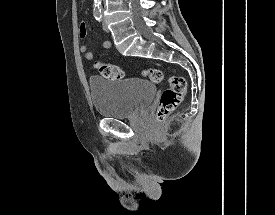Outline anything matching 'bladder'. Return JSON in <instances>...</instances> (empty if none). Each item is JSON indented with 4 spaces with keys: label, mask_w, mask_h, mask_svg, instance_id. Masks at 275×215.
Listing matches in <instances>:
<instances>
[{
    "label": "bladder",
    "mask_w": 275,
    "mask_h": 215,
    "mask_svg": "<svg viewBox=\"0 0 275 215\" xmlns=\"http://www.w3.org/2000/svg\"><path fill=\"white\" fill-rule=\"evenodd\" d=\"M89 90L96 112L113 119L134 116L156 95V86L143 78L108 81L92 76Z\"/></svg>",
    "instance_id": "31cf9c89"
}]
</instances>
